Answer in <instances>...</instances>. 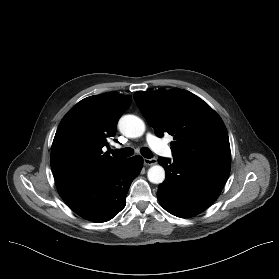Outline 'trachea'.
Masks as SVG:
<instances>
[{"instance_id":"3493384b","label":"trachea","mask_w":279,"mask_h":279,"mask_svg":"<svg viewBox=\"0 0 279 279\" xmlns=\"http://www.w3.org/2000/svg\"><path fill=\"white\" fill-rule=\"evenodd\" d=\"M111 152H112V154H116L120 157H129V156L133 155L134 150L132 148L128 147V148L119 149V150H112ZM140 153L142 154L143 157L148 158V159L152 158V156H153L152 151L147 147L141 148Z\"/></svg>"}]
</instances>
